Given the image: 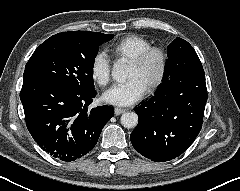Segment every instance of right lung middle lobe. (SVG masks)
Returning a JSON list of instances; mask_svg holds the SVG:
<instances>
[{
    "label": "right lung middle lobe",
    "mask_w": 240,
    "mask_h": 191,
    "mask_svg": "<svg viewBox=\"0 0 240 191\" xmlns=\"http://www.w3.org/2000/svg\"><path fill=\"white\" fill-rule=\"evenodd\" d=\"M114 35L79 39L53 35L42 43L27 62L23 83H51L87 93L94 89L93 66L98 46Z\"/></svg>",
    "instance_id": "obj_1"
}]
</instances>
